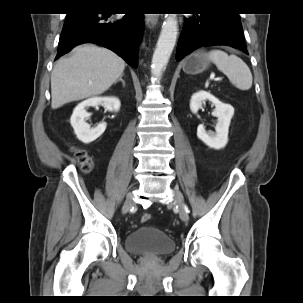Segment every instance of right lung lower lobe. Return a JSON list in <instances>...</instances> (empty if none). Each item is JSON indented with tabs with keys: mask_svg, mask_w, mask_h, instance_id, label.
<instances>
[{
	"mask_svg": "<svg viewBox=\"0 0 303 303\" xmlns=\"http://www.w3.org/2000/svg\"><path fill=\"white\" fill-rule=\"evenodd\" d=\"M98 13L85 8L67 14L55 60L76 45L95 43L114 51L137 68V45L144 27L143 14L130 13L117 19L109 12Z\"/></svg>",
	"mask_w": 303,
	"mask_h": 303,
	"instance_id": "right-lung-lower-lobe-1",
	"label": "right lung lower lobe"
}]
</instances>
